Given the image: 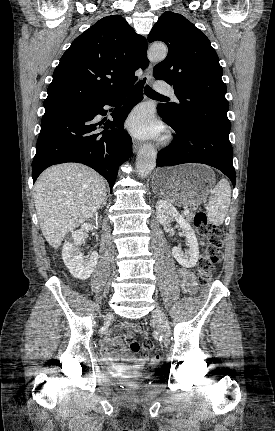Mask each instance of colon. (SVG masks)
Returning a JSON list of instances; mask_svg holds the SVG:
<instances>
[{"mask_svg":"<svg viewBox=\"0 0 275 431\" xmlns=\"http://www.w3.org/2000/svg\"><path fill=\"white\" fill-rule=\"evenodd\" d=\"M194 225L208 240V246L197 265L198 281L201 285H205L211 280L216 265L222 258L224 233L219 227L209 223L204 212L196 213ZM129 348L133 353L138 354L140 360L146 361L150 358V353L154 348V344L151 340H146L140 345L134 334L129 333ZM158 359L159 357L157 356L153 357L154 361Z\"/></svg>","mask_w":275,"mask_h":431,"instance_id":"1","label":"colon"}]
</instances>
